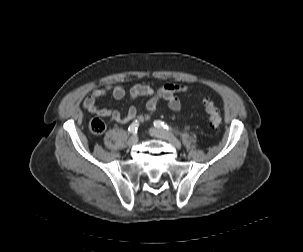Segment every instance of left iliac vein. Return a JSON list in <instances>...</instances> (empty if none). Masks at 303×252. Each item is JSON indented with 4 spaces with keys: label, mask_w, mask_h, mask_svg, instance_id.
<instances>
[{
    "label": "left iliac vein",
    "mask_w": 303,
    "mask_h": 252,
    "mask_svg": "<svg viewBox=\"0 0 303 252\" xmlns=\"http://www.w3.org/2000/svg\"><path fill=\"white\" fill-rule=\"evenodd\" d=\"M151 134L155 137L167 140L172 146H174L176 149H180L182 147L181 143L179 140L175 138V136L164 130V129H151Z\"/></svg>",
    "instance_id": "obj_1"
}]
</instances>
